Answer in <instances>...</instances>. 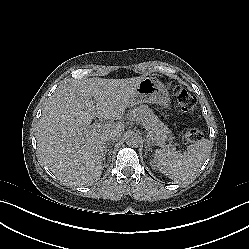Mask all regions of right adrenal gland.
<instances>
[{
	"mask_svg": "<svg viewBox=\"0 0 249 249\" xmlns=\"http://www.w3.org/2000/svg\"><path fill=\"white\" fill-rule=\"evenodd\" d=\"M106 149H107V145L104 146V152H103V154H106V153H107V150H106Z\"/></svg>",
	"mask_w": 249,
	"mask_h": 249,
	"instance_id": "obj_1",
	"label": "right adrenal gland"
}]
</instances>
